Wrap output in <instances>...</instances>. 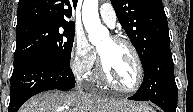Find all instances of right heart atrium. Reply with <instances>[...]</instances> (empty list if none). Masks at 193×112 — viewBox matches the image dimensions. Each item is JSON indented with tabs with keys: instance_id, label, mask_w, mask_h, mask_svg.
Here are the masks:
<instances>
[{
	"instance_id": "d8ad5b80",
	"label": "right heart atrium",
	"mask_w": 193,
	"mask_h": 112,
	"mask_svg": "<svg viewBox=\"0 0 193 112\" xmlns=\"http://www.w3.org/2000/svg\"><path fill=\"white\" fill-rule=\"evenodd\" d=\"M96 63V55L86 37L77 33L70 51V67L74 74L87 76Z\"/></svg>"
}]
</instances>
